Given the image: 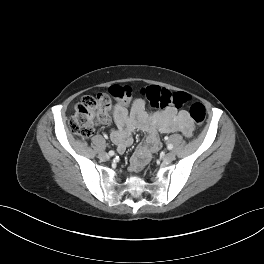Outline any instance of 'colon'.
Here are the masks:
<instances>
[{"instance_id": "colon-1", "label": "colon", "mask_w": 264, "mask_h": 264, "mask_svg": "<svg viewBox=\"0 0 264 264\" xmlns=\"http://www.w3.org/2000/svg\"><path fill=\"white\" fill-rule=\"evenodd\" d=\"M141 93L155 108H181L190 99L185 92H173L156 85L143 87ZM131 94L130 86L116 85L109 90V93L99 92L83 96L69 119L71 132L82 139L90 137L98 126L109 120L112 98L125 102ZM189 114L194 123L202 125L206 118V109L203 104L194 102L190 105Z\"/></svg>"}]
</instances>
